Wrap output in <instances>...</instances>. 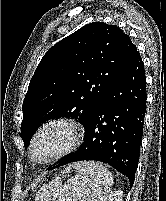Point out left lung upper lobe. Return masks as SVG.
<instances>
[{
    "instance_id": "obj_1",
    "label": "left lung upper lobe",
    "mask_w": 166,
    "mask_h": 201,
    "mask_svg": "<svg viewBox=\"0 0 166 201\" xmlns=\"http://www.w3.org/2000/svg\"><path fill=\"white\" fill-rule=\"evenodd\" d=\"M136 53L127 34L103 22L87 24L51 47L37 66L23 102L24 146L50 119L72 117L85 126Z\"/></svg>"
}]
</instances>
